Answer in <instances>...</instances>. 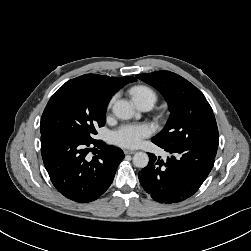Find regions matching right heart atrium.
<instances>
[{
  "instance_id": "right-heart-atrium-1",
  "label": "right heart atrium",
  "mask_w": 251,
  "mask_h": 251,
  "mask_svg": "<svg viewBox=\"0 0 251 251\" xmlns=\"http://www.w3.org/2000/svg\"><path fill=\"white\" fill-rule=\"evenodd\" d=\"M113 101H114V98L111 99V101L109 103V107L112 105Z\"/></svg>"
}]
</instances>
